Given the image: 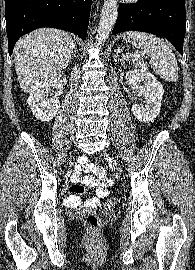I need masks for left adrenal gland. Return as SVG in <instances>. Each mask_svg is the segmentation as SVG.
I'll use <instances>...</instances> for the list:
<instances>
[{"instance_id":"obj_1","label":"left adrenal gland","mask_w":195,"mask_h":270,"mask_svg":"<svg viewBox=\"0 0 195 270\" xmlns=\"http://www.w3.org/2000/svg\"><path fill=\"white\" fill-rule=\"evenodd\" d=\"M118 53H119L118 50H115V51H114L113 57H114L115 59L118 58L119 61H123V59H120V58H119V54H118Z\"/></svg>"}]
</instances>
